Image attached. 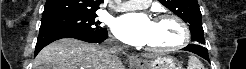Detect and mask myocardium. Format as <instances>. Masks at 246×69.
Returning a JSON list of instances; mask_svg holds the SVG:
<instances>
[{
    "mask_svg": "<svg viewBox=\"0 0 246 69\" xmlns=\"http://www.w3.org/2000/svg\"><path fill=\"white\" fill-rule=\"evenodd\" d=\"M160 20H170L176 24V26L180 29L181 32V38L179 41H177L175 44L171 46L166 47H153V46H146L149 50L157 51V52H168V51H174L179 50L183 47H185L190 40V32L187 27V25L184 23L182 19H180L178 16L170 13H162L157 16H155L153 21H160Z\"/></svg>",
    "mask_w": 246,
    "mask_h": 69,
    "instance_id": "obj_1",
    "label": "myocardium"
}]
</instances>
